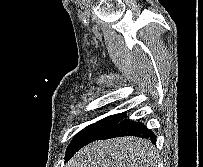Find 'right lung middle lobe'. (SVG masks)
Wrapping results in <instances>:
<instances>
[{
  "instance_id": "right-lung-middle-lobe-1",
  "label": "right lung middle lobe",
  "mask_w": 203,
  "mask_h": 167,
  "mask_svg": "<svg viewBox=\"0 0 203 167\" xmlns=\"http://www.w3.org/2000/svg\"><path fill=\"white\" fill-rule=\"evenodd\" d=\"M125 116L126 113L111 115L87 126L75 137V139H73V141L69 144L66 152L68 154L74 155L83 146L111 130Z\"/></svg>"
}]
</instances>
